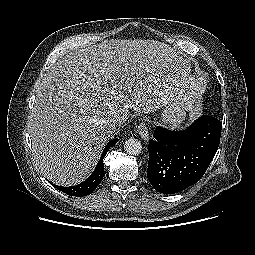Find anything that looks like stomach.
<instances>
[{
    "label": "stomach",
    "instance_id": "0dacf381",
    "mask_svg": "<svg viewBox=\"0 0 255 255\" xmlns=\"http://www.w3.org/2000/svg\"><path fill=\"white\" fill-rule=\"evenodd\" d=\"M186 113L179 102H171L162 113V121L172 126L180 125L185 119Z\"/></svg>",
    "mask_w": 255,
    "mask_h": 255
}]
</instances>
